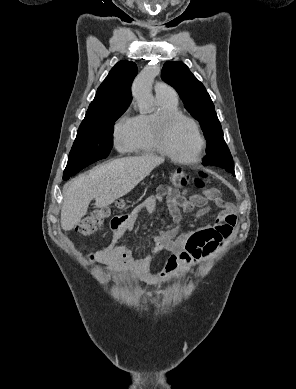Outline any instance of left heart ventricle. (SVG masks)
Returning a JSON list of instances; mask_svg holds the SVG:
<instances>
[{
    "mask_svg": "<svg viewBox=\"0 0 296 389\" xmlns=\"http://www.w3.org/2000/svg\"><path fill=\"white\" fill-rule=\"evenodd\" d=\"M171 151L183 159L193 158L198 150L199 139L191 123L179 120L173 124L168 136Z\"/></svg>",
    "mask_w": 296,
    "mask_h": 389,
    "instance_id": "1",
    "label": "left heart ventricle"
}]
</instances>
